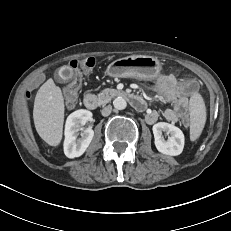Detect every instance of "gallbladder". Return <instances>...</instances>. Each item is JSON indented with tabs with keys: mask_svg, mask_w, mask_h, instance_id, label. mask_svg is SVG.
Instances as JSON below:
<instances>
[{
	"mask_svg": "<svg viewBox=\"0 0 231 231\" xmlns=\"http://www.w3.org/2000/svg\"><path fill=\"white\" fill-rule=\"evenodd\" d=\"M73 74V70L70 67L64 66L59 69L56 79L59 82H68L73 78Z\"/></svg>",
	"mask_w": 231,
	"mask_h": 231,
	"instance_id": "gallbladder-1",
	"label": "gallbladder"
}]
</instances>
